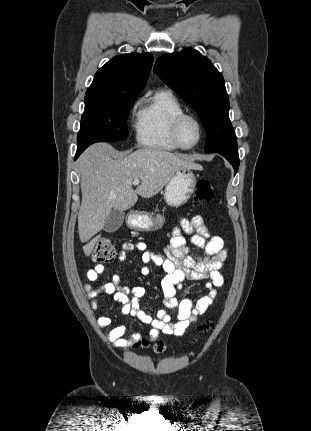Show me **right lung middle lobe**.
<instances>
[{"instance_id":"dd1d6c3e","label":"right lung middle lobe","mask_w":311,"mask_h":431,"mask_svg":"<svg viewBox=\"0 0 311 431\" xmlns=\"http://www.w3.org/2000/svg\"><path fill=\"white\" fill-rule=\"evenodd\" d=\"M137 97L86 93L78 146L126 139L129 135L126 119Z\"/></svg>"}]
</instances>
